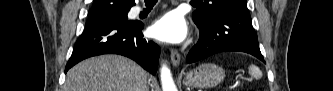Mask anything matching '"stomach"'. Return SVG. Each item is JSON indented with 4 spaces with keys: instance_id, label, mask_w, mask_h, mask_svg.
I'll return each instance as SVG.
<instances>
[{
    "instance_id": "obj_1",
    "label": "stomach",
    "mask_w": 333,
    "mask_h": 91,
    "mask_svg": "<svg viewBox=\"0 0 333 91\" xmlns=\"http://www.w3.org/2000/svg\"><path fill=\"white\" fill-rule=\"evenodd\" d=\"M224 77L225 72L221 67L205 63L187 73L183 83L189 87L212 88L220 84Z\"/></svg>"
}]
</instances>
